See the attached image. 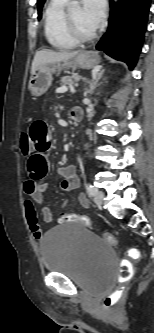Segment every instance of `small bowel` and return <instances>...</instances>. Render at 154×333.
<instances>
[{"label":"small bowel","mask_w":154,"mask_h":333,"mask_svg":"<svg viewBox=\"0 0 154 333\" xmlns=\"http://www.w3.org/2000/svg\"><path fill=\"white\" fill-rule=\"evenodd\" d=\"M32 145V153L27 162L29 179L24 182L23 190L31 201L25 204L27 221L35 239L42 238V231L36 210L32 201L39 204L41 208V218L44 222L52 221V212L44 202V194L48 185L42 180L49 171L48 151L52 145V133L48 124L42 120L34 121L28 131ZM57 174L62 178L61 188L64 191H72L79 186L78 176L73 166H62L57 170ZM78 201L81 207L88 208L89 201L85 194H80ZM68 202L64 203V208Z\"/></svg>","instance_id":"obj_1"}]
</instances>
